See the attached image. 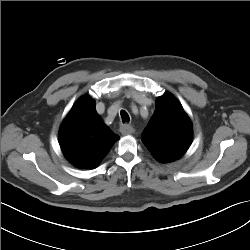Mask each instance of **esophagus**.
<instances>
[{"mask_svg":"<svg viewBox=\"0 0 250 250\" xmlns=\"http://www.w3.org/2000/svg\"><path fill=\"white\" fill-rule=\"evenodd\" d=\"M134 128L131 126V125H128V124H122L120 126V132L123 134V135H130L132 133H134Z\"/></svg>","mask_w":250,"mask_h":250,"instance_id":"esophagus-1","label":"esophagus"}]
</instances>
